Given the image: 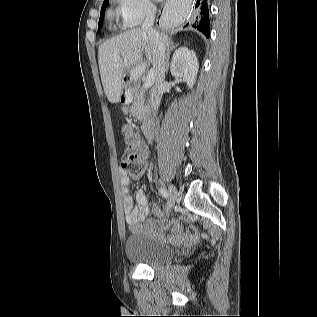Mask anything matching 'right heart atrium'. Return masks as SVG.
<instances>
[{
    "label": "right heart atrium",
    "mask_w": 317,
    "mask_h": 317,
    "mask_svg": "<svg viewBox=\"0 0 317 317\" xmlns=\"http://www.w3.org/2000/svg\"><path fill=\"white\" fill-rule=\"evenodd\" d=\"M118 9L125 27H136L152 17L156 7L152 0H117Z\"/></svg>",
    "instance_id": "obj_1"
}]
</instances>
